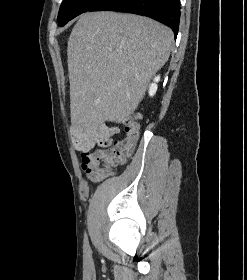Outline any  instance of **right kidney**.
Returning <instances> with one entry per match:
<instances>
[{"mask_svg":"<svg viewBox=\"0 0 247 280\" xmlns=\"http://www.w3.org/2000/svg\"><path fill=\"white\" fill-rule=\"evenodd\" d=\"M160 80V76L155 77L154 83H152L149 87V95L154 96L157 91V82Z\"/></svg>","mask_w":247,"mask_h":280,"instance_id":"1","label":"right kidney"}]
</instances>
